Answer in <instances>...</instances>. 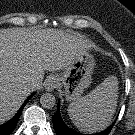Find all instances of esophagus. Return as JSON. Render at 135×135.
Segmentation results:
<instances>
[{
	"instance_id": "34e87169",
	"label": "esophagus",
	"mask_w": 135,
	"mask_h": 135,
	"mask_svg": "<svg viewBox=\"0 0 135 135\" xmlns=\"http://www.w3.org/2000/svg\"><path fill=\"white\" fill-rule=\"evenodd\" d=\"M58 85L57 79L55 77H49L46 79L44 87L47 91H53Z\"/></svg>"
}]
</instances>
